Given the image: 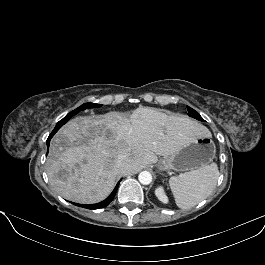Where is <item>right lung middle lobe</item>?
I'll return each instance as SVG.
<instances>
[{
  "label": "right lung middle lobe",
  "mask_w": 265,
  "mask_h": 265,
  "mask_svg": "<svg viewBox=\"0 0 265 265\" xmlns=\"http://www.w3.org/2000/svg\"><path fill=\"white\" fill-rule=\"evenodd\" d=\"M102 105L100 104H94V103H85L78 107L77 109L73 110L69 114H67L62 120H60L56 126H62L65 124L72 116L76 115L78 112L88 109V108H98L101 107Z\"/></svg>",
  "instance_id": "right-lung-middle-lobe-1"
}]
</instances>
